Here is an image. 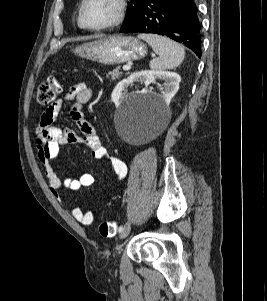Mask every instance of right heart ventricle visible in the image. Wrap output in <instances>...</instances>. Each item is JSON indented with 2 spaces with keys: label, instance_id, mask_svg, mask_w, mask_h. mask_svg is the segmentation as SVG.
<instances>
[{
  "label": "right heart ventricle",
  "instance_id": "1",
  "mask_svg": "<svg viewBox=\"0 0 267 301\" xmlns=\"http://www.w3.org/2000/svg\"><path fill=\"white\" fill-rule=\"evenodd\" d=\"M77 23H78V26H79L80 28H82V26H81V24H80V22H79V18H78V20H77Z\"/></svg>",
  "mask_w": 267,
  "mask_h": 301
}]
</instances>
